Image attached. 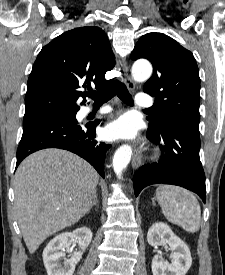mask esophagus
I'll return each mask as SVG.
<instances>
[{"label": "esophagus", "mask_w": 225, "mask_h": 275, "mask_svg": "<svg viewBox=\"0 0 225 275\" xmlns=\"http://www.w3.org/2000/svg\"><path fill=\"white\" fill-rule=\"evenodd\" d=\"M123 71H124V79H125V83H126L127 87L130 90H134L135 83L132 80V78L130 77L129 67L126 62L124 63ZM132 166L135 169H137L141 166V154H140L139 148H136L134 151V155H133V159H132Z\"/></svg>", "instance_id": "esophagus-1"}]
</instances>
